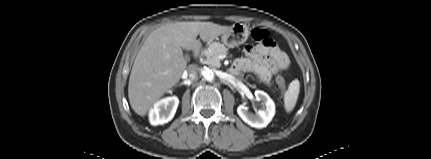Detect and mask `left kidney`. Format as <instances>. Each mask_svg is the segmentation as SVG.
Listing matches in <instances>:
<instances>
[{"mask_svg": "<svg viewBox=\"0 0 431 159\" xmlns=\"http://www.w3.org/2000/svg\"><path fill=\"white\" fill-rule=\"evenodd\" d=\"M255 98L261 105V109L256 114L250 113L244 105L237 108V113L251 127L263 128L272 120L275 114V104L269 95L261 90L255 91Z\"/></svg>", "mask_w": 431, "mask_h": 159, "instance_id": "left-kidney-1", "label": "left kidney"}]
</instances>
